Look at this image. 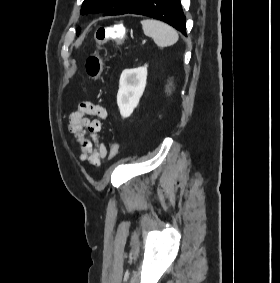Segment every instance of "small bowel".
Here are the masks:
<instances>
[{"label":"small bowel","instance_id":"obj_1","mask_svg":"<svg viewBox=\"0 0 280 283\" xmlns=\"http://www.w3.org/2000/svg\"><path fill=\"white\" fill-rule=\"evenodd\" d=\"M90 116H96L102 120L108 119V113L103 106L82 102L78 109L70 114L68 128L78 144L79 160L87 161L97 167L104 158L111 155L116 143L108 149L104 143L99 141L101 121L92 119Z\"/></svg>","mask_w":280,"mask_h":283}]
</instances>
